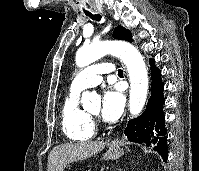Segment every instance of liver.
Here are the masks:
<instances>
[{
    "instance_id": "1",
    "label": "liver",
    "mask_w": 199,
    "mask_h": 171,
    "mask_svg": "<svg viewBox=\"0 0 199 171\" xmlns=\"http://www.w3.org/2000/svg\"><path fill=\"white\" fill-rule=\"evenodd\" d=\"M106 142L67 143L53 148L48 156L47 171H64L72 162L86 159L100 152Z\"/></svg>"
}]
</instances>
